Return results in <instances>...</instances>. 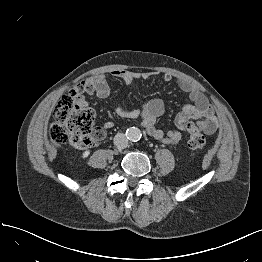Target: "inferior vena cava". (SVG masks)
Here are the masks:
<instances>
[{"label": "inferior vena cava", "instance_id": "602c4592", "mask_svg": "<svg viewBox=\"0 0 262 262\" xmlns=\"http://www.w3.org/2000/svg\"><path fill=\"white\" fill-rule=\"evenodd\" d=\"M114 145L119 149H124L128 146V138L123 133H117L114 137Z\"/></svg>", "mask_w": 262, "mask_h": 262}]
</instances>
